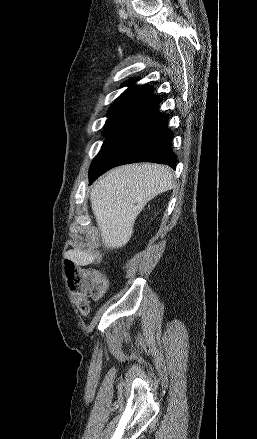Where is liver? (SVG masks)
Returning a JSON list of instances; mask_svg holds the SVG:
<instances>
[{"instance_id": "liver-1", "label": "liver", "mask_w": 257, "mask_h": 439, "mask_svg": "<svg viewBox=\"0 0 257 439\" xmlns=\"http://www.w3.org/2000/svg\"><path fill=\"white\" fill-rule=\"evenodd\" d=\"M172 186L170 168L149 163L120 166L99 178L92 188L90 201L104 247L125 246L145 205ZM65 257L80 266L95 263L97 259L96 254L76 249L66 252Z\"/></svg>"}]
</instances>
